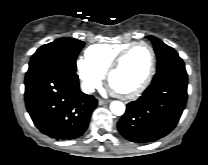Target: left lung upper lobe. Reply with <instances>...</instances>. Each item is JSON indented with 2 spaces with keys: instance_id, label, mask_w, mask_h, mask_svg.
<instances>
[{
  "instance_id": "5c2ea615",
  "label": "left lung upper lobe",
  "mask_w": 208,
  "mask_h": 165,
  "mask_svg": "<svg viewBox=\"0 0 208 165\" xmlns=\"http://www.w3.org/2000/svg\"><path fill=\"white\" fill-rule=\"evenodd\" d=\"M154 44V50L157 54V69L169 64L170 62L181 60L178 53L168 45L164 44L161 40L154 36H147Z\"/></svg>"
}]
</instances>
